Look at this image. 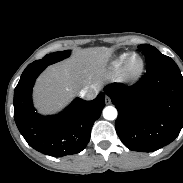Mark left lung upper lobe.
I'll return each mask as SVG.
<instances>
[{
    "label": "left lung upper lobe",
    "mask_w": 183,
    "mask_h": 183,
    "mask_svg": "<svg viewBox=\"0 0 183 183\" xmlns=\"http://www.w3.org/2000/svg\"><path fill=\"white\" fill-rule=\"evenodd\" d=\"M138 47L139 50L145 55L146 70H154L175 63L170 57L161 54L155 47L151 45L142 44Z\"/></svg>",
    "instance_id": "5c2ea615"
}]
</instances>
